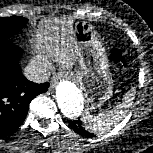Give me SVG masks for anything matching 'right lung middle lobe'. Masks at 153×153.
Segmentation results:
<instances>
[{"instance_id": "obj_1", "label": "right lung middle lobe", "mask_w": 153, "mask_h": 153, "mask_svg": "<svg viewBox=\"0 0 153 153\" xmlns=\"http://www.w3.org/2000/svg\"><path fill=\"white\" fill-rule=\"evenodd\" d=\"M24 17L0 18V40H7L9 37L17 34L27 23Z\"/></svg>"}]
</instances>
